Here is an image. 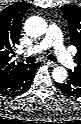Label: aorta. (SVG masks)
I'll list each match as a JSON object with an SVG mask.
<instances>
[{
  "mask_svg": "<svg viewBox=\"0 0 81 124\" xmlns=\"http://www.w3.org/2000/svg\"><path fill=\"white\" fill-rule=\"evenodd\" d=\"M47 29L46 21L37 16L30 17L25 23V32L31 37H40L45 34ZM53 79L57 82H63L67 78V71L63 67H56L52 72Z\"/></svg>",
  "mask_w": 81,
  "mask_h": 124,
  "instance_id": "1",
  "label": "aorta"
}]
</instances>
